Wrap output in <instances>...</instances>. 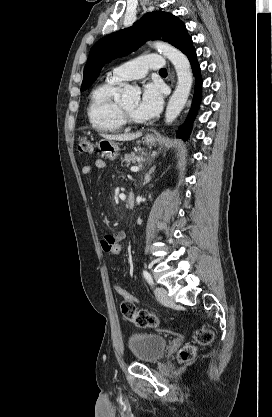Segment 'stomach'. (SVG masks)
Masks as SVG:
<instances>
[{"instance_id":"obj_1","label":"stomach","mask_w":272,"mask_h":417,"mask_svg":"<svg viewBox=\"0 0 272 417\" xmlns=\"http://www.w3.org/2000/svg\"><path fill=\"white\" fill-rule=\"evenodd\" d=\"M144 142L146 145L153 146L156 144L157 139L155 136H146L144 138ZM98 148L102 151L103 156L113 161L118 157L119 146L118 143L112 140L101 139L98 144Z\"/></svg>"}]
</instances>
